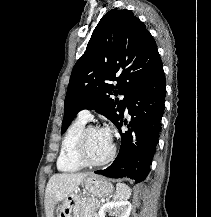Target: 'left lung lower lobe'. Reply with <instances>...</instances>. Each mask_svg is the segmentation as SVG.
Instances as JSON below:
<instances>
[{
  "label": "left lung lower lobe",
  "mask_w": 211,
  "mask_h": 217,
  "mask_svg": "<svg viewBox=\"0 0 211 217\" xmlns=\"http://www.w3.org/2000/svg\"><path fill=\"white\" fill-rule=\"evenodd\" d=\"M165 95L166 80L161 66L131 93L127 103L131 115L129 129L121 132L123 116L115 125L121 134L119 153L109 167L95 173L110 178L127 177L135 183L145 180L156 151Z\"/></svg>",
  "instance_id": "0a47b994"
}]
</instances>
